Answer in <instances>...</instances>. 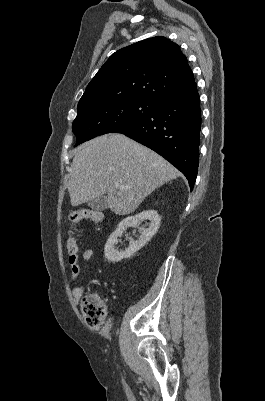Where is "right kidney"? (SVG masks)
Returning a JSON list of instances; mask_svg holds the SVG:
<instances>
[{"label": "right kidney", "instance_id": "obj_1", "mask_svg": "<svg viewBox=\"0 0 265 401\" xmlns=\"http://www.w3.org/2000/svg\"><path fill=\"white\" fill-rule=\"evenodd\" d=\"M145 219L150 221L149 229H143L138 241H130L129 247H127L125 251H116L114 245L117 241V237H121L123 231H125L127 227H135V225H138L140 221H145ZM160 221L161 219L157 211H142V213L135 215V217H127V219L121 221L116 231L110 235L105 245L104 253L107 261H110V263H118V261H122V259H130L136 251H140L145 243L150 241L153 235L157 233L160 227Z\"/></svg>", "mask_w": 265, "mask_h": 401}]
</instances>
